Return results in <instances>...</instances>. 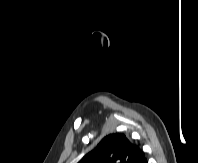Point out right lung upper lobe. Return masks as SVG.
<instances>
[{
    "instance_id": "obj_1",
    "label": "right lung upper lobe",
    "mask_w": 198,
    "mask_h": 163,
    "mask_svg": "<svg viewBox=\"0 0 198 163\" xmlns=\"http://www.w3.org/2000/svg\"><path fill=\"white\" fill-rule=\"evenodd\" d=\"M78 163H147L142 151L122 133L104 137Z\"/></svg>"
}]
</instances>
